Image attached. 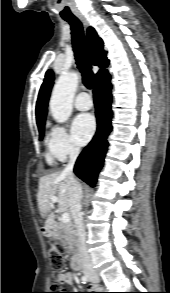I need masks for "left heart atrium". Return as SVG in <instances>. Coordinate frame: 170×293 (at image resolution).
<instances>
[{
    "mask_svg": "<svg viewBox=\"0 0 170 293\" xmlns=\"http://www.w3.org/2000/svg\"><path fill=\"white\" fill-rule=\"evenodd\" d=\"M95 130L96 122L95 118L91 114H79L72 122V137L79 145H85L92 138Z\"/></svg>",
    "mask_w": 170,
    "mask_h": 293,
    "instance_id": "1",
    "label": "left heart atrium"
}]
</instances>
